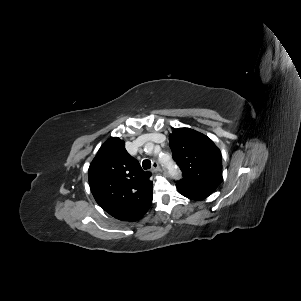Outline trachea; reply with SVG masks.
Here are the masks:
<instances>
[{"label":"trachea","mask_w":301,"mask_h":301,"mask_svg":"<svg viewBox=\"0 0 301 301\" xmlns=\"http://www.w3.org/2000/svg\"><path fill=\"white\" fill-rule=\"evenodd\" d=\"M142 167L147 170V169H150L151 168V161L150 160H144L142 162Z\"/></svg>","instance_id":"3493384b"}]
</instances>
